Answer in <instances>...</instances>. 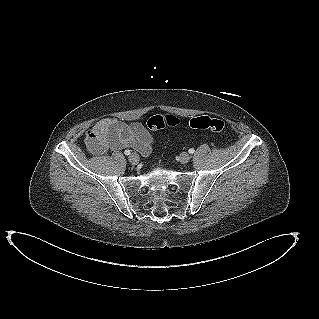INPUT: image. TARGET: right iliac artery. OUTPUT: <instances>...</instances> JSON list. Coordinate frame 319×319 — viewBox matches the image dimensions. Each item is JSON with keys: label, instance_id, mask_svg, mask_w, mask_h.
I'll return each mask as SVG.
<instances>
[{"label": "right iliac artery", "instance_id": "obj_1", "mask_svg": "<svg viewBox=\"0 0 319 319\" xmlns=\"http://www.w3.org/2000/svg\"><path fill=\"white\" fill-rule=\"evenodd\" d=\"M124 154H125V155H129V154H130V150H125V151H124Z\"/></svg>", "mask_w": 319, "mask_h": 319}]
</instances>
